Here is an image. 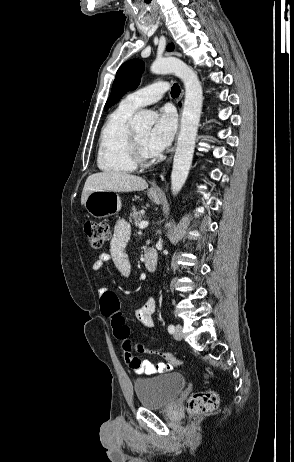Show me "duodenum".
I'll list each match as a JSON object with an SVG mask.
<instances>
[{"label": "duodenum", "instance_id": "410a0bca", "mask_svg": "<svg viewBox=\"0 0 294 462\" xmlns=\"http://www.w3.org/2000/svg\"><path fill=\"white\" fill-rule=\"evenodd\" d=\"M157 251L152 247H147L144 251V264L147 270L154 271L157 266Z\"/></svg>", "mask_w": 294, "mask_h": 462}]
</instances>
